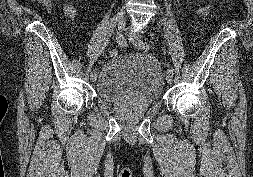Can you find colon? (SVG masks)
<instances>
[{
    "label": "colon",
    "mask_w": 253,
    "mask_h": 177,
    "mask_svg": "<svg viewBox=\"0 0 253 177\" xmlns=\"http://www.w3.org/2000/svg\"><path fill=\"white\" fill-rule=\"evenodd\" d=\"M43 2H46V1H43ZM109 54H110L111 57H115V56L118 55V52H117V50L112 49V50H110Z\"/></svg>",
    "instance_id": "5ec220e1"
}]
</instances>
